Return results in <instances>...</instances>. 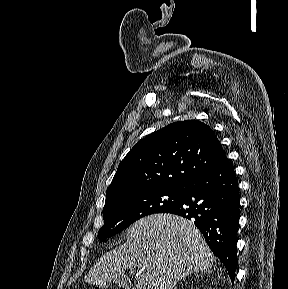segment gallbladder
<instances>
[{
	"instance_id": "obj_1",
	"label": "gallbladder",
	"mask_w": 288,
	"mask_h": 289,
	"mask_svg": "<svg viewBox=\"0 0 288 289\" xmlns=\"http://www.w3.org/2000/svg\"><path fill=\"white\" fill-rule=\"evenodd\" d=\"M112 282L119 286H127L129 284L126 276L123 274H118L117 276L113 277Z\"/></svg>"
}]
</instances>
